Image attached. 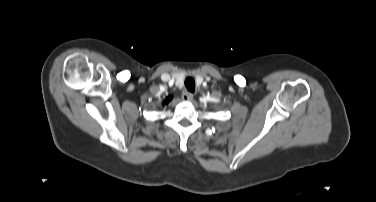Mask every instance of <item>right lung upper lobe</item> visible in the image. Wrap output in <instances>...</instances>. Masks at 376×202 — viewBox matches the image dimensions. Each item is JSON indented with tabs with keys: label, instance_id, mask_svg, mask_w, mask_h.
<instances>
[{
	"label": "right lung upper lobe",
	"instance_id": "right-lung-upper-lobe-1",
	"mask_svg": "<svg viewBox=\"0 0 376 202\" xmlns=\"http://www.w3.org/2000/svg\"><path fill=\"white\" fill-rule=\"evenodd\" d=\"M171 99H172V97H171V96H168V97L165 99L164 103L167 104Z\"/></svg>",
	"mask_w": 376,
	"mask_h": 202
}]
</instances>
